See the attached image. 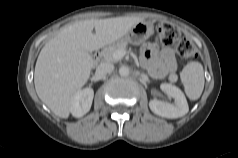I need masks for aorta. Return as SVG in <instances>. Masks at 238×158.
I'll return each instance as SVG.
<instances>
[{
  "instance_id": "1",
  "label": "aorta",
  "mask_w": 238,
  "mask_h": 158,
  "mask_svg": "<svg viewBox=\"0 0 238 158\" xmlns=\"http://www.w3.org/2000/svg\"><path fill=\"white\" fill-rule=\"evenodd\" d=\"M129 73H130V70H129V68H128L127 66H121V67L119 68V74H120V76L126 77V76L129 75Z\"/></svg>"
}]
</instances>
